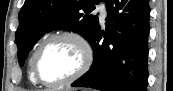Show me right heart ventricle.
<instances>
[{"label":"right heart ventricle","instance_id":"1","mask_svg":"<svg viewBox=\"0 0 173 91\" xmlns=\"http://www.w3.org/2000/svg\"><path fill=\"white\" fill-rule=\"evenodd\" d=\"M35 51H36V48L32 52L30 63H29V78H30L31 82H33V83H36V80L34 79V76L32 73V60H33V56H34Z\"/></svg>","mask_w":173,"mask_h":91}]
</instances>
